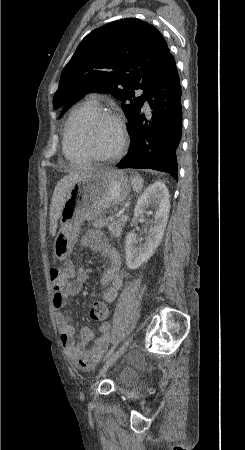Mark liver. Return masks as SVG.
I'll return each mask as SVG.
<instances>
[{
	"label": "liver",
	"instance_id": "liver-1",
	"mask_svg": "<svg viewBox=\"0 0 245 450\" xmlns=\"http://www.w3.org/2000/svg\"><path fill=\"white\" fill-rule=\"evenodd\" d=\"M94 169H84L81 171L72 172L69 175L63 177L56 185L50 205V233L55 235L57 229L58 219L60 217L65 198L73 183L90 173Z\"/></svg>",
	"mask_w": 245,
	"mask_h": 450
}]
</instances>
